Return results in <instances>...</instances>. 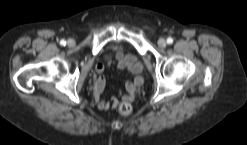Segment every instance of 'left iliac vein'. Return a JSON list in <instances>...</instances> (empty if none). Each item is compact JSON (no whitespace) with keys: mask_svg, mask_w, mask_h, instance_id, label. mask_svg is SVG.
<instances>
[{"mask_svg":"<svg viewBox=\"0 0 247 145\" xmlns=\"http://www.w3.org/2000/svg\"><path fill=\"white\" fill-rule=\"evenodd\" d=\"M166 45H167V42H166V40H165L164 38H160V39L158 40V46H159L160 48H165Z\"/></svg>","mask_w":247,"mask_h":145,"instance_id":"4c4485c4","label":"left iliac vein"}]
</instances>
